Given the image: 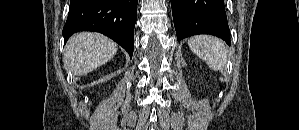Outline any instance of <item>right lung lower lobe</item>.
Here are the masks:
<instances>
[{
    "label": "right lung lower lobe",
    "instance_id": "obj_1",
    "mask_svg": "<svg viewBox=\"0 0 299 130\" xmlns=\"http://www.w3.org/2000/svg\"><path fill=\"white\" fill-rule=\"evenodd\" d=\"M138 0H71L63 28L64 42L78 31L100 32L132 57Z\"/></svg>",
    "mask_w": 299,
    "mask_h": 130
}]
</instances>
